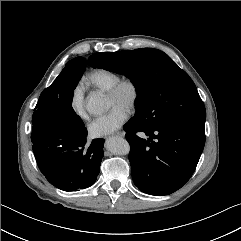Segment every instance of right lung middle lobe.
<instances>
[{
  "label": "right lung middle lobe",
  "instance_id": "obj_1",
  "mask_svg": "<svg viewBox=\"0 0 241 241\" xmlns=\"http://www.w3.org/2000/svg\"><path fill=\"white\" fill-rule=\"evenodd\" d=\"M85 66L62 71L40 95L32 116L33 127L57 146L78 139L86 130L72 108L75 90Z\"/></svg>",
  "mask_w": 241,
  "mask_h": 241
}]
</instances>
